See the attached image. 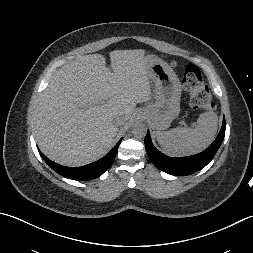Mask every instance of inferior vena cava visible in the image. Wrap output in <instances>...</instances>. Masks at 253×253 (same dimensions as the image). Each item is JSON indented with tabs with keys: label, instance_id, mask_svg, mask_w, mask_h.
<instances>
[{
	"label": "inferior vena cava",
	"instance_id": "602c4592",
	"mask_svg": "<svg viewBox=\"0 0 253 253\" xmlns=\"http://www.w3.org/2000/svg\"><path fill=\"white\" fill-rule=\"evenodd\" d=\"M114 126L119 129H124L126 127V122L122 117H117L114 119Z\"/></svg>",
	"mask_w": 253,
	"mask_h": 253
}]
</instances>
